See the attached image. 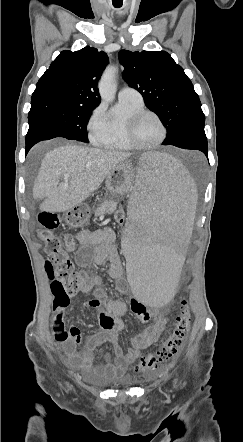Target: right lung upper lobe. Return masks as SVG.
<instances>
[{"mask_svg":"<svg viewBox=\"0 0 243 442\" xmlns=\"http://www.w3.org/2000/svg\"><path fill=\"white\" fill-rule=\"evenodd\" d=\"M107 64L106 53L89 46L62 51L39 79L32 97L61 96L96 107L101 100L98 80Z\"/></svg>","mask_w":243,"mask_h":442,"instance_id":"1","label":"right lung upper lobe"}]
</instances>
